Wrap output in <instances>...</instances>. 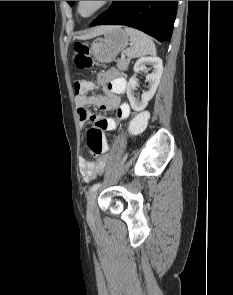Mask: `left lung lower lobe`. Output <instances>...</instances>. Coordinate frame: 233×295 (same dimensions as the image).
Returning a JSON list of instances; mask_svg holds the SVG:
<instances>
[{"mask_svg":"<svg viewBox=\"0 0 233 295\" xmlns=\"http://www.w3.org/2000/svg\"><path fill=\"white\" fill-rule=\"evenodd\" d=\"M178 1H113L108 10L90 26L126 25L139 29L158 41H170Z\"/></svg>","mask_w":233,"mask_h":295,"instance_id":"obj_1","label":"left lung lower lobe"}]
</instances>
